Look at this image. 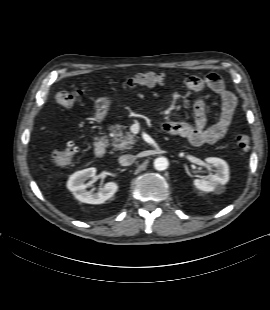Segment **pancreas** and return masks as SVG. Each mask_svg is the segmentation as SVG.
<instances>
[{
  "label": "pancreas",
  "mask_w": 270,
  "mask_h": 310,
  "mask_svg": "<svg viewBox=\"0 0 270 310\" xmlns=\"http://www.w3.org/2000/svg\"><path fill=\"white\" fill-rule=\"evenodd\" d=\"M126 126L115 124L109 127L112 132V146L114 150H126L131 149L136 143L134 135L131 132L124 131Z\"/></svg>",
  "instance_id": "1"
}]
</instances>
